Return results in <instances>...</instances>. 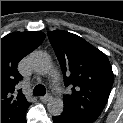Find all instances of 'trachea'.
Returning a JSON list of instances; mask_svg holds the SVG:
<instances>
[{"instance_id":"trachea-1","label":"trachea","mask_w":123,"mask_h":123,"mask_svg":"<svg viewBox=\"0 0 123 123\" xmlns=\"http://www.w3.org/2000/svg\"><path fill=\"white\" fill-rule=\"evenodd\" d=\"M33 93H34V95L44 96L46 93V89L43 85H37V86H35Z\"/></svg>"}]
</instances>
